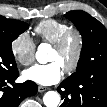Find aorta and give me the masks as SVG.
<instances>
[{"label":"aorta","mask_w":107,"mask_h":107,"mask_svg":"<svg viewBox=\"0 0 107 107\" xmlns=\"http://www.w3.org/2000/svg\"><path fill=\"white\" fill-rule=\"evenodd\" d=\"M36 59L41 64L47 62V51L44 44L39 45L36 52ZM43 102L46 107H57L60 103V95L55 91H49L44 95Z\"/></svg>","instance_id":"aorta-1"}]
</instances>
